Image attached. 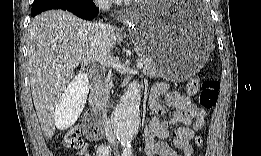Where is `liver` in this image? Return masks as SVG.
I'll use <instances>...</instances> for the list:
<instances>
[{
    "instance_id": "obj_1",
    "label": "liver",
    "mask_w": 261,
    "mask_h": 156,
    "mask_svg": "<svg viewBox=\"0 0 261 156\" xmlns=\"http://www.w3.org/2000/svg\"><path fill=\"white\" fill-rule=\"evenodd\" d=\"M93 23L82 20L70 12L50 10L34 17L27 34V62L33 103L47 139L55 128L67 129L77 120L84 102L81 96L72 99L73 116L65 115L66 95L74 78V68L68 64L78 62L81 68L98 61L91 34ZM107 43L116 44V31L109 26Z\"/></svg>"
}]
</instances>
